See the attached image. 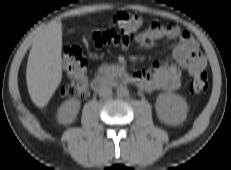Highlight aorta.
<instances>
[{"instance_id":"aorta-1","label":"aorta","mask_w":231,"mask_h":170,"mask_svg":"<svg viewBox=\"0 0 231 170\" xmlns=\"http://www.w3.org/2000/svg\"><path fill=\"white\" fill-rule=\"evenodd\" d=\"M117 95L120 97H126L129 95V90L125 86H120L117 88Z\"/></svg>"}]
</instances>
